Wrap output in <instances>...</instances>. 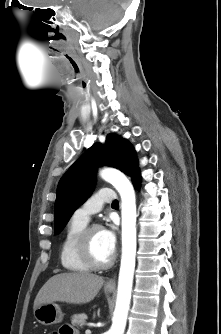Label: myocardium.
I'll use <instances>...</instances> for the list:
<instances>
[{"mask_svg":"<svg viewBox=\"0 0 221 334\" xmlns=\"http://www.w3.org/2000/svg\"><path fill=\"white\" fill-rule=\"evenodd\" d=\"M102 229L99 224H91L86 226L81 232L77 249L81 259L92 269H107L111 267L116 259V252L113 251L109 260L102 262L96 259L92 251V234L95 230Z\"/></svg>","mask_w":221,"mask_h":334,"instance_id":"myocardium-1","label":"myocardium"}]
</instances>
